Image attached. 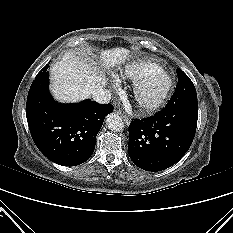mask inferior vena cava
I'll return each mask as SVG.
<instances>
[{
  "instance_id": "inferior-vena-cava-1",
  "label": "inferior vena cava",
  "mask_w": 233,
  "mask_h": 233,
  "mask_svg": "<svg viewBox=\"0 0 233 233\" xmlns=\"http://www.w3.org/2000/svg\"><path fill=\"white\" fill-rule=\"evenodd\" d=\"M94 101L98 103H108L111 100V92L107 89H99L92 94Z\"/></svg>"
}]
</instances>
